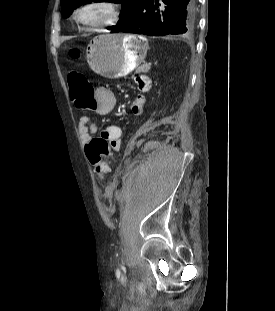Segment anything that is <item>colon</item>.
<instances>
[{"label": "colon", "instance_id": "colon-1", "mask_svg": "<svg viewBox=\"0 0 275 311\" xmlns=\"http://www.w3.org/2000/svg\"><path fill=\"white\" fill-rule=\"evenodd\" d=\"M69 55L72 58H77L79 53L76 49H72ZM68 82L71 100L75 106L84 108V105H91L95 97L94 87L89 80L81 73H71ZM110 147H112V142L103 135L92 139L86 147L88 160L100 177L108 172L110 168Z\"/></svg>", "mask_w": 275, "mask_h": 311}]
</instances>
